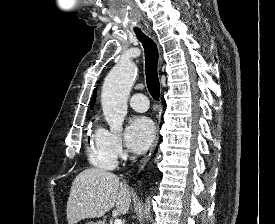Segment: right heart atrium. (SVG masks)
<instances>
[{
    "label": "right heart atrium",
    "instance_id": "obj_1",
    "mask_svg": "<svg viewBox=\"0 0 275 224\" xmlns=\"http://www.w3.org/2000/svg\"><path fill=\"white\" fill-rule=\"evenodd\" d=\"M101 132L103 135L104 144L112 156L115 159L124 157L125 151L120 134L104 128H101Z\"/></svg>",
    "mask_w": 275,
    "mask_h": 224
}]
</instances>
